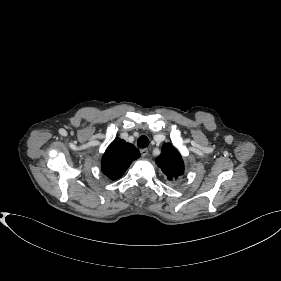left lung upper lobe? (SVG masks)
I'll use <instances>...</instances> for the list:
<instances>
[{
    "instance_id": "left-lung-upper-lobe-1",
    "label": "left lung upper lobe",
    "mask_w": 281,
    "mask_h": 281,
    "mask_svg": "<svg viewBox=\"0 0 281 281\" xmlns=\"http://www.w3.org/2000/svg\"><path fill=\"white\" fill-rule=\"evenodd\" d=\"M156 163L167 176L168 180L176 179L184 173L182 157L170 143L162 146V152L156 158Z\"/></svg>"
}]
</instances>
